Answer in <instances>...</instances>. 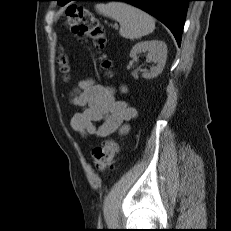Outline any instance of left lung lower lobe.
<instances>
[{
  "label": "left lung lower lobe",
  "mask_w": 231,
  "mask_h": 231,
  "mask_svg": "<svg viewBox=\"0 0 231 231\" xmlns=\"http://www.w3.org/2000/svg\"><path fill=\"white\" fill-rule=\"evenodd\" d=\"M73 0H64L61 5ZM85 1H123L134 5L165 24L173 33L178 45L185 22L188 3L191 0H85Z\"/></svg>",
  "instance_id": "1"
}]
</instances>
